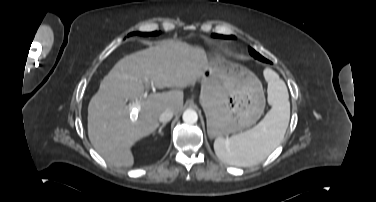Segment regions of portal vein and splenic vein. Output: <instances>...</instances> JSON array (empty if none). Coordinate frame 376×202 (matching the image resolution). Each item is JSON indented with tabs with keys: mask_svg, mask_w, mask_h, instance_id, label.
<instances>
[{
	"mask_svg": "<svg viewBox=\"0 0 376 202\" xmlns=\"http://www.w3.org/2000/svg\"><path fill=\"white\" fill-rule=\"evenodd\" d=\"M146 83L148 84L149 81L146 80ZM143 96L147 97V91H145V93L143 94ZM130 110H131L132 113H137V106H136L135 103H133V104L130 105Z\"/></svg>",
	"mask_w": 376,
	"mask_h": 202,
	"instance_id": "18ae733b",
	"label": "portal vein and splenic vein"
}]
</instances>
